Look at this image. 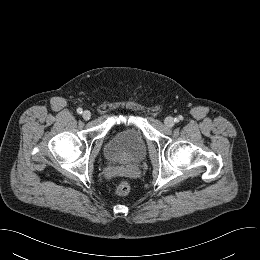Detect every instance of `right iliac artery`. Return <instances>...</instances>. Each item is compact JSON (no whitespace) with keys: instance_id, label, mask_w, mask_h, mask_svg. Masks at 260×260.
I'll return each mask as SVG.
<instances>
[{"instance_id":"1","label":"right iliac artery","mask_w":260,"mask_h":260,"mask_svg":"<svg viewBox=\"0 0 260 260\" xmlns=\"http://www.w3.org/2000/svg\"><path fill=\"white\" fill-rule=\"evenodd\" d=\"M83 112L82 108L77 109V113L81 114Z\"/></svg>"}]
</instances>
